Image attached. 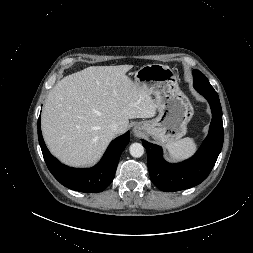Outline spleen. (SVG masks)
<instances>
[{"label":"spleen","mask_w":253,"mask_h":253,"mask_svg":"<svg viewBox=\"0 0 253 253\" xmlns=\"http://www.w3.org/2000/svg\"><path fill=\"white\" fill-rule=\"evenodd\" d=\"M169 156L176 160L181 161L192 156L197 150V144L193 138H183L166 145Z\"/></svg>","instance_id":"obj_1"}]
</instances>
